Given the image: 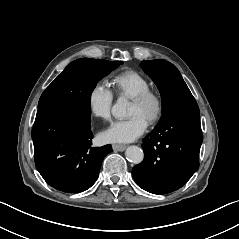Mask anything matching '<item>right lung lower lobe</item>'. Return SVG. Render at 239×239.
<instances>
[{"instance_id":"1","label":"right lung lower lobe","mask_w":239,"mask_h":239,"mask_svg":"<svg viewBox=\"0 0 239 239\" xmlns=\"http://www.w3.org/2000/svg\"><path fill=\"white\" fill-rule=\"evenodd\" d=\"M90 106L64 100L38 108L32 129L35 165L51 187L65 193L90 188L98 178L110 144L92 147Z\"/></svg>"}]
</instances>
